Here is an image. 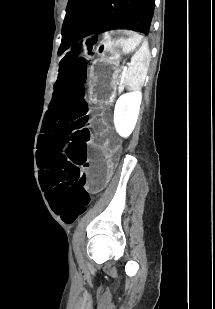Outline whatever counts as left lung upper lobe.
Instances as JSON below:
<instances>
[{"label":"left lung upper lobe","mask_w":215,"mask_h":309,"mask_svg":"<svg viewBox=\"0 0 215 309\" xmlns=\"http://www.w3.org/2000/svg\"><path fill=\"white\" fill-rule=\"evenodd\" d=\"M59 53L79 40L115 28L148 34L154 0H69Z\"/></svg>","instance_id":"obj_1"}]
</instances>
